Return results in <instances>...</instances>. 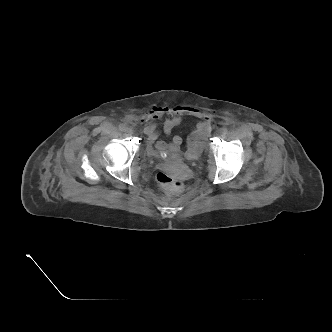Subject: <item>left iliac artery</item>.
Segmentation results:
<instances>
[{"label":"left iliac artery","instance_id":"1","mask_svg":"<svg viewBox=\"0 0 332 332\" xmlns=\"http://www.w3.org/2000/svg\"><path fill=\"white\" fill-rule=\"evenodd\" d=\"M221 130H222L223 134H227L228 133V129L226 127H223Z\"/></svg>","mask_w":332,"mask_h":332}]
</instances>
